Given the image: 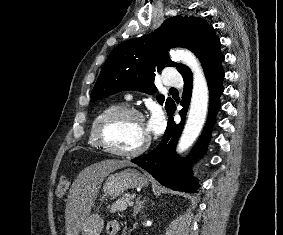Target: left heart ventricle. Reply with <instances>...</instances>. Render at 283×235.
Segmentation results:
<instances>
[{"instance_id":"obj_1","label":"left heart ventricle","mask_w":283,"mask_h":235,"mask_svg":"<svg viewBox=\"0 0 283 235\" xmlns=\"http://www.w3.org/2000/svg\"><path fill=\"white\" fill-rule=\"evenodd\" d=\"M147 136L144 122L136 117H122L111 122L106 129L109 143L123 151L138 148Z\"/></svg>"}]
</instances>
